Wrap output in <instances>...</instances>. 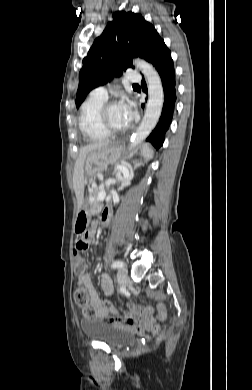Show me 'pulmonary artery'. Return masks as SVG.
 I'll use <instances>...</instances> for the list:
<instances>
[{
	"label": "pulmonary artery",
	"instance_id": "e3ab8cb5",
	"mask_svg": "<svg viewBox=\"0 0 252 390\" xmlns=\"http://www.w3.org/2000/svg\"><path fill=\"white\" fill-rule=\"evenodd\" d=\"M140 78H141L140 75L134 71L130 70L127 73V80L130 82H138V81H140ZM90 95H92L94 97L106 99L107 98V90L104 86H99V87L94 88L91 91Z\"/></svg>",
	"mask_w": 252,
	"mask_h": 390
}]
</instances>
